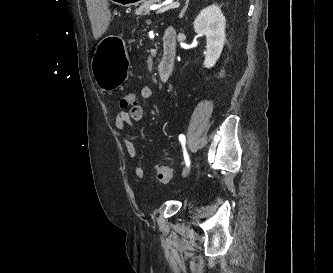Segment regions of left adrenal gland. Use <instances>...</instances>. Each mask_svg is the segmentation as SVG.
Segmentation results:
<instances>
[{
	"mask_svg": "<svg viewBox=\"0 0 333 273\" xmlns=\"http://www.w3.org/2000/svg\"><path fill=\"white\" fill-rule=\"evenodd\" d=\"M189 0H186L185 6L183 7L182 11L179 14V18H183L187 8H188Z\"/></svg>",
	"mask_w": 333,
	"mask_h": 273,
	"instance_id": "a2214340",
	"label": "left adrenal gland"
}]
</instances>
